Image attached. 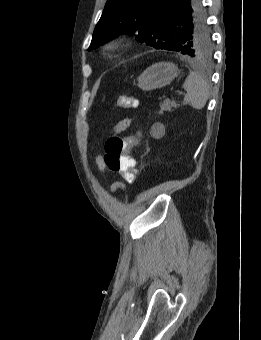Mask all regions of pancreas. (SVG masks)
<instances>
[{"instance_id": "obj_1", "label": "pancreas", "mask_w": 261, "mask_h": 340, "mask_svg": "<svg viewBox=\"0 0 261 340\" xmlns=\"http://www.w3.org/2000/svg\"><path fill=\"white\" fill-rule=\"evenodd\" d=\"M179 105L175 101H171L169 99L160 103V111L159 114H163L165 111L170 112L172 108H177Z\"/></svg>"}]
</instances>
